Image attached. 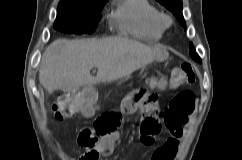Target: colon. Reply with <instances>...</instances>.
Instances as JSON below:
<instances>
[{
	"instance_id": "1",
	"label": "colon",
	"mask_w": 242,
	"mask_h": 160,
	"mask_svg": "<svg viewBox=\"0 0 242 160\" xmlns=\"http://www.w3.org/2000/svg\"><path fill=\"white\" fill-rule=\"evenodd\" d=\"M195 80L194 67L190 63H183L172 70L168 83L163 80L152 81L149 86L159 89L167 86L179 88L183 85L193 84ZM128 97V104L137 105L142 112V141L149 143L152 141L151 136L160 130L156 97L146 87L135 89ZM95 103L96 97L91 91L63 94L59 96L53 106V115L58 121L71 119L80 113L91 111L94 109ZM193 108L194 94L188 90L180 92L172 99L164 112L166 126L169 128L179 127L182 122H185ZM120 122V114L111 111L100 115L93 126L81 130V144L86 148L93 149L88 155L89 160H98V154L94 150L97 140L114 131L120 125Z\"/></svg>"
}]
</instances>
